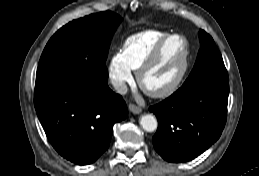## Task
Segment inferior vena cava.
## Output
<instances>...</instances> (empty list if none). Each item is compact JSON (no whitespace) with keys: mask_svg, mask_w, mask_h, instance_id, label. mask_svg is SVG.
<instances>
[{"mask_svg":"<svg viewBox=\"0 0 259 176\" xmlns=\"http://www.w3.org/2000/svg\"><path fill=\"white\" fill-rule=\"evenodd\" d=\"M112 85L119 94H126L128 91L127 85L121 80H112Z\"/></svg>","mask_w":259,"mask_h":176,"instance_id":"inferior-vena-cava-1","label":"inferior vena cava"}]
</instances>
